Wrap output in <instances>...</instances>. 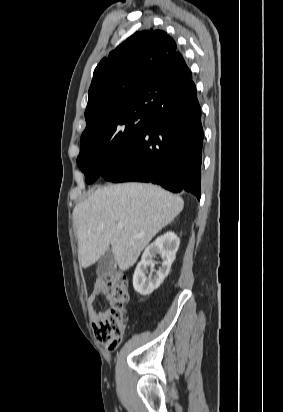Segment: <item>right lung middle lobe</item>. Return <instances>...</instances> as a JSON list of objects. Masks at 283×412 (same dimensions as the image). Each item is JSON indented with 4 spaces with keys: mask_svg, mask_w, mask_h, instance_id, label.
<instances>
[{
    "mask_svg": "<svg viewBox=\"0 0 283 412\" xmlns=\"http://www.w3.org/2000/svg\"><path fill=\"white\" fill-rule=\"evenodd\" d=\"M161 105L154 100L136 104L106 121L100 129L81 137L77 164L88 184L95 182L106 167L128 152Z\"/></svg>",
    "mask_w": 283,
    "mask_h": 412,
    "instance_id": "dd1d6c3e",
    "label": "right lung middle lobe"
}]
</instances>
